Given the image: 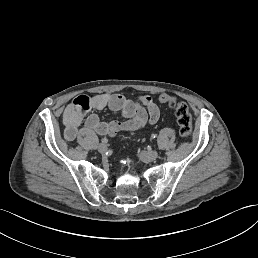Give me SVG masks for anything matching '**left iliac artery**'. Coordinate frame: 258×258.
Here are the masks:
<instances>
[{
	"instance_id": "44dca946",
	"label": "left iliac artery",
	"mask_w": 258,
	"mask_h": 258,
	"mask_svg": "<svg viewBox=\"0 0 258 258\" xmlns=\"http://www.w3.org/2000/svg\"><path fill=\"white\" fill-rule=\"evenodd\" d=\"M156 137H157L156 134H152V135H151V138H152V139H155Z\"/></svg>"
}]
</instances>
